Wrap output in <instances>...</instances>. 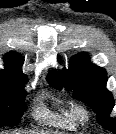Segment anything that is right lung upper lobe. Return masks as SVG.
I'll return each mask as SVG.
<instances>
[{
    "mask_svg": "<svg viewBox=\"0 0 116 134\" xmlns=\"http://www.w3.org/2000/svg\"><path fill=\"white\" fill-rule=\"evenodd\" d=\"M22 57L16 52H9L4 56L5 69L0 70V92L21 93L27 82L21 66Z\"/></svg>",
    "mask_w": 116,
    "mask_h": 134,
    "instance_id": "1",
    "label": "right lung upper lobe"
}]
</instances>
